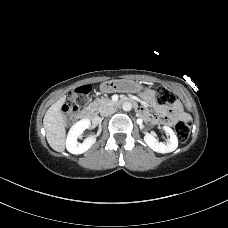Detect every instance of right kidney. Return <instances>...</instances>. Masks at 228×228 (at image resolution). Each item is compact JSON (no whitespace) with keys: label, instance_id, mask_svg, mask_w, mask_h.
I'll return each mask as SVG.
<instances>
[{"label":"right kidney","instance_id":"obj_1","mask_svg":"<svg viewBox=\"0 0 228 228\" xmlns=\"http://www.w3.org/2000/svg\"><path fill=\"white\" fill-rule=\"evenodd\" d=\"M91 122L89 119H82L75 123L68 132L66 139V148L71 154H82L86 152L95 142L96 137L89 136L82 143L77 141L78 137L90 127Z\"/></svg>","mask_w":228,"mask_h":228}]
</instances>
